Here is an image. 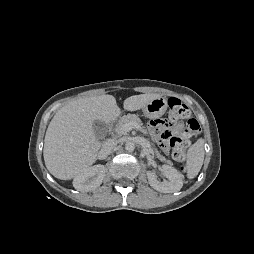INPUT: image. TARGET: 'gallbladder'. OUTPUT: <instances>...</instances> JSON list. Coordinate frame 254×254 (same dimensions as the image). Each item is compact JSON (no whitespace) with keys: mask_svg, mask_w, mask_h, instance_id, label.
Instances as JSON below:
<instances>
[{"mask_svg":"<svg viewBox=\"0 0 254 254\" xmlns=\"http://www.w3.org/2000/svg\"><path fill=\"white\" fill-rule=\"evenodd\" d=\"M93 129L96 137L101 138L106 132V124L101 120H96L93 123Z\"/></svg>","mask_w":254,"mask_h":254,"instance_id":"gallbladder-1","label":"gallbladder"}]
</instances>
